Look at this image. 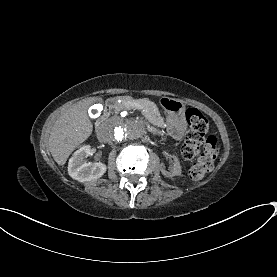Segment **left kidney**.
<instances>
[{
  "mask_svg": "<svg viewBox=\"0 0 277 277\" xmlns=\"http://www.w3.org/2000/svg\"><path fill=\"white\" fill-rule=\"evenodd\" d=\"M175 161V166L172 170L166 171L163 167H161V172L165 177L172 178L173 176H180L182 174L181 164L179 159L176 156H173Z\"/></svg>",
  "mask_w": 277,
  "mask_h": 277,
  "instance_id": "5707ae66",
  "label": "left kidney"
}]
</instances>
